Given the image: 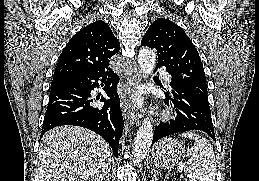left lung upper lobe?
I'll use <instances>...</instances> for the list:
<instances>
[{"mask_svg": "<svg viewBox=\"0 0 259 181\" xmlns=\"http://www.w3.org/2000/svg\"><path fill=\"white\" fill-rule=\"evenodd\" d=\"M141 45L157 50L158 65L165 66L172 76L170 85L191 95L210 109L205 72L199 53L177 24L158 18L148 28Z\"/></svg>", "mask_w": 259, "mask_h": 181, "instance_id": "obj_1", "label": "left lung upper lobe"}]
</instances>
